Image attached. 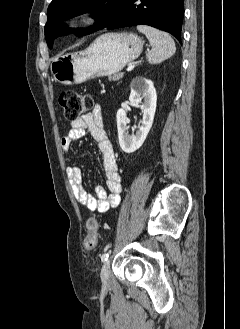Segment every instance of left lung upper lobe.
I'll use <instances>...</instances> for the list:
<instances>
[{"label": "left lung upper lobe", "mask_w": 240, "mask_h": 329, "mask_svg": "<svg viewBox=\"0 0 240 329\" xmlns=\"http://www.w3.org/2000/svg\"><path fill=\"white\" fill-rule=\"evenodd\" d=\"M125 0H52L48 7V20L45 26V38L50 48L55 38L74 32L81 37L102 29L120 10ZM90 12L97 25L87 29L73 31L61 22L74 16Z\"/></svg>", "instance_id": "obj_1"}]
</instances>
